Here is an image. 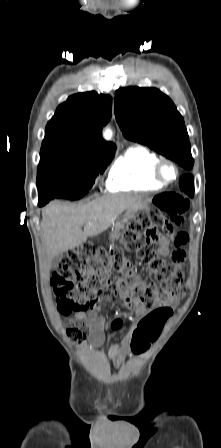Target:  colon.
<instances>
[{
    "mask_svg": "<svg viewBox=\"0 0 221 448\" xmlns=\"http://www.w3.org/2000/svg\"><path fill=\"white\" fill-rule=\"evenodd\" d=\"M153 202L154 207L148 212L139 213L126 222L121 238L123 248L135 253L153 281L143 280L135 273L122 248L93 249L88 245L74 247L50 280L57 310L69 314L92 308L111 271L123 273L130 300L152 310L132 335V346L136 350L160 336L165 321L172 314L171 304L185 295L184 273L156 250L160 236L154 227L161 226L172 235L174 229L184 223L189 201L177 193L165 192L155 196ZM68 336L75 342L81 338L75 327L68 329Z\"/></svg>",
    "mask_w": 221,
    "mask_h": 448,
    "instance_id": "5ec220e1",
    "label": "colon"
}]
</instances>
